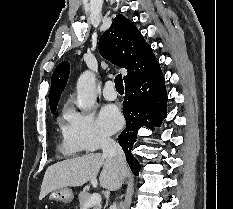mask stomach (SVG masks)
<instances>
[{"label": "stomach", "instance_id": "0dacf381", "mask_svg": "<svg viewBox=\"0 0 233 209\" xmlns=\"http://www.w3.org/2000/svg\"><path fill=\"white\" fill-rule=\"evenodd\" d=\"M48 198L49 200L54 202H62L68 204L73 201L74 194L69 188H61L48 193Z\"/></svg>", "mask_w": 233, "mask_h": 209}]
</instances>
